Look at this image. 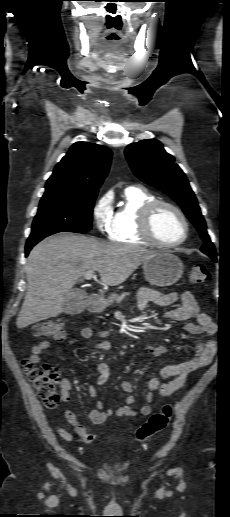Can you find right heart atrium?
I'll return each mask as SVG.
<instances>
[{
	"mask_svg": "<svg viewBox=\"0 0 230 517\" xmlns=\"http://www.w3.org/2000/svg\"><path fill=\"white\" fill-rule=\"evenodd\" d=\"M113 215V202L111 196L108 194L100 196L92 207V217L99 233H109Z\"/></svg>",
	"mask_w": 230,
	"mask_h": 517,
	"instance_id": "right-heart-atrium-1",
	"label": "right heart atrium"
}]
</instances>
